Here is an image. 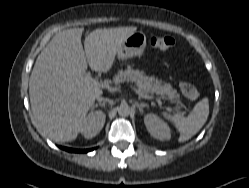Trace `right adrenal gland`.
Wrapping results in <instances>:
<instances>
[{
  "label": "right adrenal gland",
  "mask_w": 249,
  "mask_h": 188,
  "mask_svg": "<svg viewBox=\"0 0 249 188\" xmlns=\"http://www.w3.org/2000/svg\"><path fill=\"white\" fill-rule=\"evenodd\" d=\"M106 102H107V101H103L102 103L99 102V103L93 105V106H92V110H94V108H96V107H98V106L105 107Z\"/></svg>",
  "instance_id": "1"
}]
</instances>
